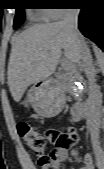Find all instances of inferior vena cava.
Masks as SVG:
<instances>
[{
  "label": "inferior vena cava",
  "mask_w": 104,
  "mask_h": 169,
  "mask_svg": "<svg viewBox=\"0 0 104 169\" xmlns=\"http://www.w3.org/2000/svg\"><path fill=\"white\" fill-rule=\"evenodd\" d=\"M80 9H66L64 26L71 32L80 50V64L88 79V125L91 134V142L94 148L99 147L100 118L102 114V95L96 85L93 59L89 47L78 30V16Z\"/></svg>",
  "instance_id": "602c4592"
}]
</instances>
